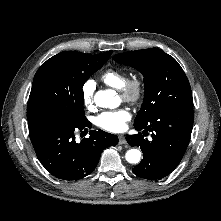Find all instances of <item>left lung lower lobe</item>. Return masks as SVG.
Listing matches in <instances>:
<instances>
[{"label": "left lung lower lobe", "instance_id": "1", "mask_svg": "<svg viewBox=\"0 0 221 221\" xmlns=\"http://www.w3.org/2000/svg\"><path fill=\"white\" fill-rule=\"evenodd\" d=\"M194 113L192 109H174L157 113L146 124L135 126L140 131L127 135L132 146L140 147L143 160L132 171L148 180L169 175L180 163L189 144ZM151 132L152 140L144 138Z\"/></svg>", "mask_w": 221, "mask_h": 221}]
</instances>
